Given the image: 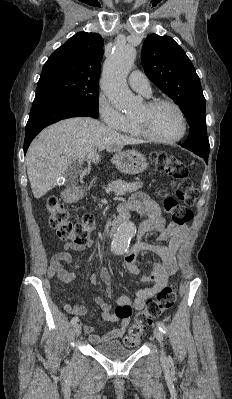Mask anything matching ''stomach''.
I'll return each instance as SVG.
<instances>
[{"label":"stomach","mask_w":232,"mask_h":399,"mask_svg":"<svg viewBox=\"0 0 232 399\" xmlns=\"http://www.w3.org/2000/svg\"><path fill=\"white\" fill-rule=\"evenodd\" d=\"M112 164H115L119 172H125V174H141L148 168L145 156L137 150H126V152L115 154Z\"/></svg>","instance_id":"0dacf381"}]
</instances>
